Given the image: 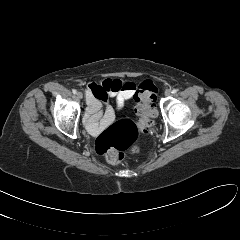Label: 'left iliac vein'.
I'll use <instances>...</instances> for the list:
<instances>
[{
	"instance_id": "left-iliac-vein-1",
	"label": "left iliac vein",
	"mask_w": 240,
	"mask_h": 240,
	"mask_svg": "<svg viewBox=\"0 0 240 240\" xmlns=\"http://www.w3.org/2000/svg\"><path fill=\"white\" fill-rule=\"evenodd\" d=\"M171 93H172V92H171L170 89H166L165 92H164V95H165V96H169V95H171Z\"/></svg>"
}]
</instances>
